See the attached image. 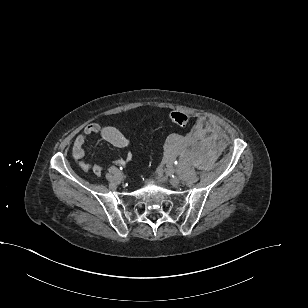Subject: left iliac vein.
<instances>
[{
	"instance_id": "obj_1",
	"label": "left iliac vein",
	"mask_w": 308,
	"mask_h": 308,
	"mask_svg": "<svg viewBox=\"0 0 308 308\" xmlns=\"http://www.w3.org/2000/svg\"><path fill=\"white\" fill-rule=\"evenodd\" d=\"M170 183L174 187H177L180 184V179L178 177L170 178Z\"/></svg>"
}]
</instances>
